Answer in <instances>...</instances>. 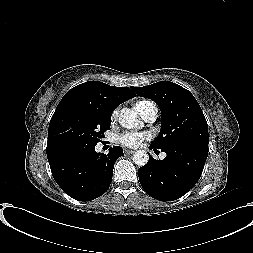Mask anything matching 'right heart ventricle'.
Instances as JSON below:
<instances>
[{
    "mask_svg": "<svg viewBox=\"0 0 253 253\" xmlns=\"http://www.w3.org/2000/svg\"><path fill=\"white\" fill-rule=\"evenodd\" d=\"M144 102H145V100L137 102V104H136L137 110H138V108H139Z\"/></svg>",
    "mask_w": 253,
    "mask_h": 253,
    "instance_id": "right-heart-ventricle-1",
    "label": "right heart ventricle"
}]
</instances>
